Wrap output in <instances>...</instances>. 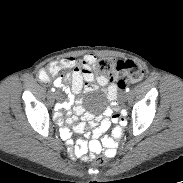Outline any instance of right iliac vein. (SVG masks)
Returning a JSON list of instances; mask_svg holds the SVG:
<instances>
[{
  "mask_svg": "<svg viewBox=\"0 0 183 183\" xmlns=\"http://www.w3.org/2000/svg\"><path fill=\"white\" fill-rule=\"evenodd\" d=\"M54 96H55V98H60L61 97V94H60V92L59 91H56L55 93H54Z\"/></svg>",
  "mask_w": 183,
  "mask_h": 183,
  "instance_id": "right-iliac-vein-1",
  "label": "right iliac vein"
}]
</instances>
